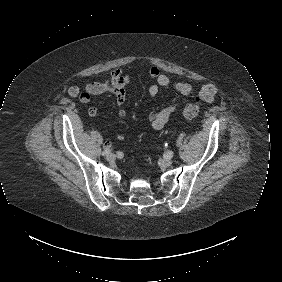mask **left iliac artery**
<instances>
[{
  "mask_svg": "<svg viewBox=\"0 0 282 282\" xmlns=\"http://www.w3.org/2000/svg\"><path fill=\"white\" fill-rule=\"evenodd\" d=\"M166 157L172 158L173 157V152L172 151L166 152Z\"/></svg>",
  "mask_w": 282,
  "mask_h": 282,
  "instance_id": "1",
  "label": "left iliac artery"
}]
</instances>
